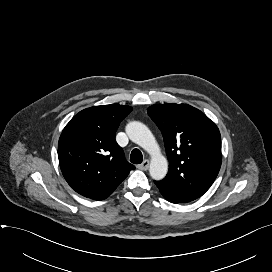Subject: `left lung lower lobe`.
Returning a JSON list of instances; mask_svg holds the SVG:
<instances>
[{
    "label": "left lung lower lobe",
    "instance_id": "obj_1",
    "mask_svg": "<svg viewBox=\"0 0 272 272\" xmlns=\"http://www.w3.org/2000/svg\"><path fill=\"white\" fill-rule=\"evenodd\" d=\"M156 186H158V182L155 181ZM162 189H160L161 191ZM166 200L170 201L171 203H185V202H190L193 201L197 198L200 197V195H188V196H183V197H179V198H172V197H167L164 196Z\"/></svg>",
    "mask_w": 272,
    "mask_h": 272
}]
</instances>
